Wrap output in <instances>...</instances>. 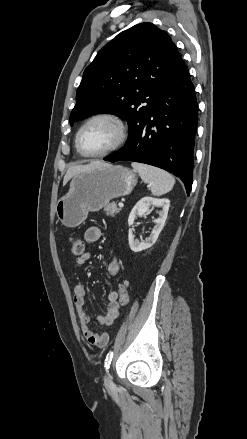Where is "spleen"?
Masks as SVG:
<instances>
[{
    "label": "spleen",
    "instance_id": "spleen-1",
    "mask_svg": "<svg viewBox=\"0 0 247 439\" xmlns=\"http://www.w3.org/2000/svg\"><path fill=\"white\" fill-rule=\"evenodd\" d=\"M131 166L145 183L152 184L151 192L154 196L168 193L175 184V179L167 171L138 162H132Z\"/></svg>",
    "mask_w": 247,
    "mask_h": 439
}]
</instances>
